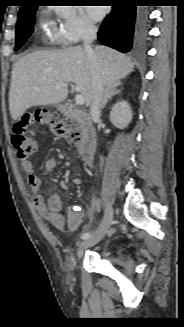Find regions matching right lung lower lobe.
<instances>
[{
  "mask_svg": "<svg viewBox=\"0 0 184 327\" xmlns=\"http://www.w3.org/2000/svg\"><path fill=\"white\" fill-rule=\"evenodd\" d=\"M112 7L98 31V40L123 53L141 48L147 35L146 11L133 4Z\"/></svg>",
  "mask_w": 184,
  "mask_h": 327,
  "instance_id": "98d812e1",
  "label": "right lung lower lobe"
}]
</instances>
